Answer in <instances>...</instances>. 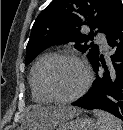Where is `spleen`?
Listing matches in <instances>:
<instances>
[{
  "instance_id": "spleen-1",
  "label": "spleen",
  "mask_w": 123,
  "mask_h": 130,
  "mask_svg": "<svg viewBox=\"0 0 123 130\" xmlns=\"http://www.w3.org/2000/svg\"><path fill=\"white\" fill-rule=\"evenodd\" d=\"M93 112L97 117V130H123L121 121L112 114L102 110Z\"/></svg>"
}]
</instances>
